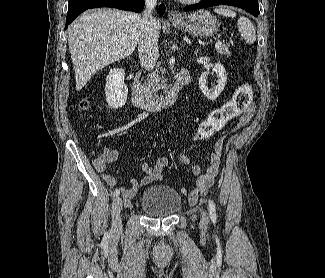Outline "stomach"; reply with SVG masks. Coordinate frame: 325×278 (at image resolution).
I'll return each instance as SVG.
<instances>
[{"label":"stomach","mask_w":325,"mask_h":278,"mask_svg":"<svg viewBox=\"0 0 325 278\" xmlns=\"http://www.w3.org/2000/svg\"><path fill=\"white\" fill-rule=\"evenodd\" d=\"M172 24L195 36L210 37L218 31V21L216 17L206 10H198L183 16L178 21H172Z\"/></svg>","instance_id":"stomach-1"}]
</instances>
